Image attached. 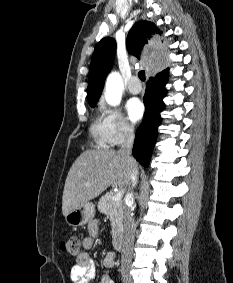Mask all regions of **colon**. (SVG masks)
Here are the masks:
<instances>
[{
  "label": "colon",
  "mask_w": 233,
  "mask_h": 283,
  "mask_svg": "<svg viewBox=\"0 0 233 283\" xmlns=\"http://www.w3.org/2000/svg\"><path fill=\"white\" fill-rule=\"evenodd\" d=\"M61 250L72 255L76 256L80 253L81 241L80 238L76 235H72L67 239L63 240L60 244Z\"/></svg>",
  "instance_id": "5ec220e1"
}]
</instances>
